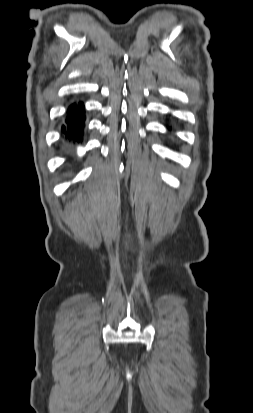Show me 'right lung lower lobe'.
<instances>
[{
    "mask_svg": "<svg viewBox=\"0 0 253 413\" xmlns=\"http://www.w3.org/2000/svg\"><path fill=\"white\" fill-rule=\"evenodd\" d=\"M83 104L79 103L78 105L72 104L67 112L66 126H62V132L64 133L65 139L69 142H81L85 114L83 112Z\"/></svg>",
    "mask_w": 253,
    "mask_h": 413,
    "instance_id": "obj_1",
    "label": "right lung lower lobe"
}]
</instances>
